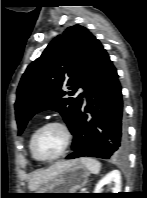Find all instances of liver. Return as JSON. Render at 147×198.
<instances>
[{
	"label": "liver",
	"mask_w": 147,
	"mask_h": 198,
	"mask_svg": "<svg viewBox=\"0 0 147 198\" xmlns=\"http://www.w3.org/2000/svg\"><path fill=\"white\" fill-rule=\"evenodd\" d=\"M76 160L59 161L50 166L48 169L35 171L29 181L28 187L31 191H36L41 185L47 183L65 169L76 164Z\"/></svg>",
	"instance_id": "6515ba94"
}]
</instances>
